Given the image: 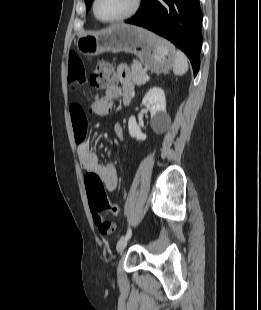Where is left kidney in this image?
<instances>
[{"label":"left kidney","instance_id":"obj_1","mask_svg":"<svg viewBox=\"0 0 261 310\" xmlns=\"http://www.w3.org/2000/svg\"><path fill=\"white\" fill-rule=\"evenodd\" d=\"M151 113V127L154 131L164 130L170 121L169 115L166 113V99L164 90L160 87L151 88L142 100ZM128 130L132 138L137 140H145L147 136L143 134L137 125L135 116H131L128 121Z\"/></svg>","mask_w":261,"mask_h":310}]
</instances>
